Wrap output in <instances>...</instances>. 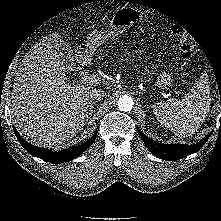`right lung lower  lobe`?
Masks as SVG:
<instances>
[{
    "instance_id": "right-lung-lower-lobe-1",
    "label": "right lung lower lobe",
    "mask_w": 221,
    "mask_h": 221,
    "mask_svg": "<svg viewBox=\"0 0 221 221\" xmlns=\"http://www.w3.org/2000/svg\"><path fill=\"white\" fill-rule=\"evenodd\" d=\"M13 130L20 144L25 148L27 152H29L31 155L35 157H38L44 161H47L53 164H61V163L70 161L72 159H75L76 157L81 155L94 142V140L96 139V134H97V131H95L94 135L87 142L81 145L64 149L58 152H53L46 148H40V147L31 145L19 135V133L17 132L14 126H13Z\"/></svg>"
}]
</instances>
